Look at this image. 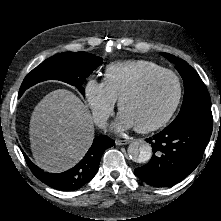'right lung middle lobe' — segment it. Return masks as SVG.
<instances>
[{
    "label": "right lung middle lobe",
    "mask_w": 221,
    "mask_h": 221,
    "mask_svg": "<svg viewBox=\"0 0 221 221\" xmlns=\"http://www.w3.org/2000/svg\"><path fill=\"white\" fill-rule=\"evenodd\" d=\"M102 63V58L86 52L56 54L43 61L24 79L19 97L34 84L45 80H60L75 86L84 95L85 79Z\"/></svg>",
    "instance_id": "1"
}]
</instances>
